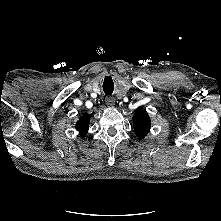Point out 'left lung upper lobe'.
<instances>
[{"label": "left lung upper lobe", "mask_w": 221, "mask_h": 221, "mask_svg": "<svg viewBox=\"0 0 221 221\" xmlns=\"http://www.w3.org/2000/svg\"><path fill=\"white\" fill-rule=\"evenodd\" d=\"M134 131L139 138H143L150 131V118L144 111H138L133 116Z\"/></svg>", "instance_id": "5c2ea615"}]
</instances>
